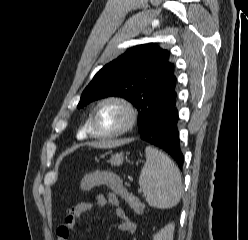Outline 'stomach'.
I'll list each match as a JSON object with an SVG mask.
<instances>
[{"mask_svg": "<svg viewBox=\"0 0 248 240\" xmlns=\"http://www.w3.org/2000/svg\"><path fill=\"white\" fill-rule=\"evenodd\" d=\"M109 162L114 166H119L123 163V154L122 153H116L111 156Z\"/></svg>", "mask_w": 248, "mask_h": 240, "instance_id": "obj_1", "label": "stomach"}]
</instances>
